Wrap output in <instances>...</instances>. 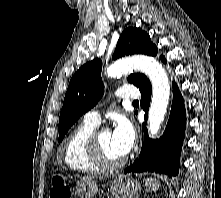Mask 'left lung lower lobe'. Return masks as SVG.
<instances>
[{
	"instance_id": "left-lung-lower-lobe-1",
	"label": "left lung lower lobe",
	"mask_w": 221,
	"mask_h": 198,
	"mask_svg": "<svg viewBox=\"0 0 221 198\" xmlns=\"http://www.w3.org/2000/svg\"><path fill=\"white\" fill-rule=\"evenodd\" d=\"M166 63L165 58L162 59ZM140 104L148 112L151 99V83L145 82L139 87ZM186 113L184 101L177 85L173 82V102L170 117L163 136L158 140L150 139L145 129L143 146L139 157L133 165L124 170L129 172H157L168 176H176L179 171V158L184 139Z\"/></svg>"
}]
</instances>
